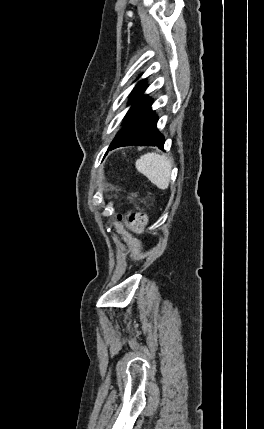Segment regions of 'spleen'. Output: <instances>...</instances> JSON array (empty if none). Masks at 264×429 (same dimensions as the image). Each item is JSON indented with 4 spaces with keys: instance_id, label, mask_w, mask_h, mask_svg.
Instances as JSON below:
<instances>
[{
    "instance_id": "obj_1",
    "label": "spleen",
    "mask_w": 264,
    "mask_h": 429,
    "mask_svg": "<svg viewBox=\"0 0 264 429\" xmlns=\"http://www.w3.org/2000/svg\"><path fill=\"white\" fill-rule=\"evenodd\" d=\"M136 168L159 189L168 188L172 163L167 156L154 152L144 154L136 161Z\"/></svg>"
}]
</instances>
